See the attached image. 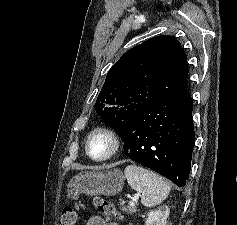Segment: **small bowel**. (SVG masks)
<instances>
[{
    "label": "small bowel",
    "mask_w": 237,
    "mask_h": 225,
    "mask_svg": "<svg viewBox=\"0 0 237 225\" xmlns=\"http://www.w3.org/2000/svg\"><path fill=\"white\" fill-rule=\"evenodd\" d=\"M86 225H118V224L112 221H108L102 216L95 215L88 219Z\"/></svg>",
    "instance_id": "c3829d8e"
}]
</instances>
